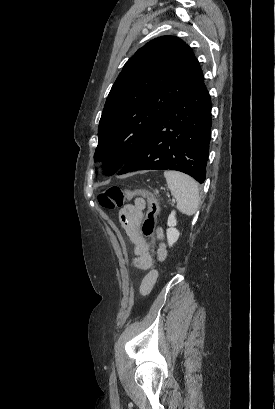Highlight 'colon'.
Masks as SVG:
<instances>
[{
  "instance_id": "obj_1",
  "label": "colon",
  "mask_w": 275,
  "mask_h": 409,
  "mask_svg": "<svg viewBox=\"0 0 275 409\" xmlns=\"http://www.w3.org/2000/svg\"><path fill=\"white\" fill-rule=\"evenodd\" d=\"M139 195L145 196L148 199V211L143 220L141 231L146 238H152V243L155 244L154 230L157 224L160 207L157 199L148 191H127L117 186H113L104 190L98 196V202L104 207V215L112 216L114 209L121 208L123 204Z\"/></svg>"
}]
</instances>
